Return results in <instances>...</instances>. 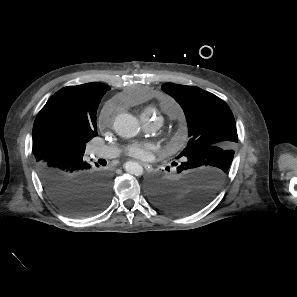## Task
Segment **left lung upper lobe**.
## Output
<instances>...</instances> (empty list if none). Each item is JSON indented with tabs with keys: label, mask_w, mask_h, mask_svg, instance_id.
I'll return each mask as SVG.
<instances>
[{
	"label": "left lung upper lobe",
	"mask_w": 297,
	"mask_h": 297,
	"mask_svg": "<svg viewBox=\"0 0 297 297\" xmlns=\"http://www.w3.org/2000/svg\"><path fill=\"white\" fill-rule=\"evenodd\" d=\"M162 90L181 105L188 123L189 141L176 159L188 169H212L226 178L238 141L228 105L198 87L165 83Z\"/></svg>",
	"instance_id": "left-lung-upper-lobe-1"
}]
</instances>
